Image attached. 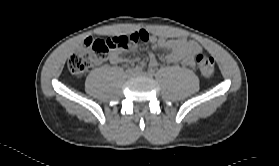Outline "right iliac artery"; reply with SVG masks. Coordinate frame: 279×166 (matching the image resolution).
Masks as SVG:
<instances>
[{"label": "right iliac artery", "mask_w": 279, "mask_h": 166, "mask_svg": "<svg viewBox=\"0 0 279 166\" xmlns=\"http://www.w3.org/2000/svg\"><path fill=\"white\" fill-rule=\"evenodd\" d=\"M134 70L137 71V72H142L143 68H142L141 66H138V65H137V66L134 68Z\"/></svg>", "instance_id": "obj_1"}]
</instances>
